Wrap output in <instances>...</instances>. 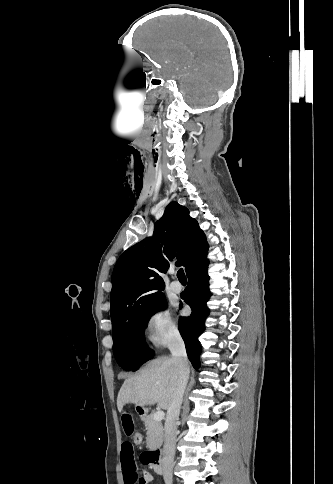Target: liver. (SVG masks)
<instances>
[{"label": "liver", "instance_id": "1", "mask_svg": "<svg viewBox=\"0 0 333 484\" xmlns=\"http://www.w3.org/2000/svg\"><path fill=\"white\" fill-rule=\"evenodd\" d=\"M178 363L170 357L151 360L139 372L126 379L117 397V408L121 412L128 403L136 406L157 404L168 410L179 383Z\"/></svg>", "mask_w": 333, "mask_h": 484}]
</instances>
